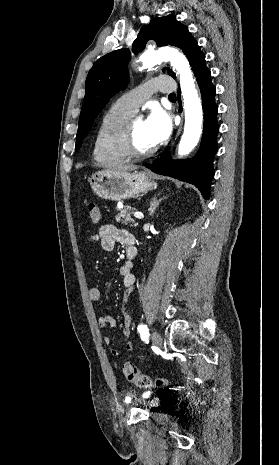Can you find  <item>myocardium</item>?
Masks as SVG:
<instances>
[{
    "mask_svg": "<svg viewBox=\"0 0 279 465\" xmlns=\"http://www.w3.org/2000/svg\"><path fill=\"white\" fill-rule=\"evenodd\" d=\"M136 120L135 118L127 120L111 140L112 150L124 158H143L152 155L156 151L155 146L145 151L133 149L131 143L132 127Z\"/></svg>",
    "mask_w": 279,
    "mask_h": 465,
    "instance_id": "obj_1",
    "label": "myocardium"
}]
</instances>
